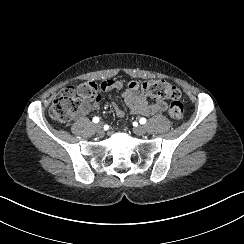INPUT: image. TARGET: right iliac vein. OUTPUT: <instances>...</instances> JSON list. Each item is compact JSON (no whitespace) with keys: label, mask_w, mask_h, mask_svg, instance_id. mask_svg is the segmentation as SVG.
Here are the masks:
<instances>
[{"label":"right iliac vein","mask_w":244,"mask_h":244,"mask_svg":"<svg viewBox=\"0 0 244 244\" xmlns=\"http://www.w3.org/2000/svg\"><path fill=\"white\" fill-rule=\"evenodd\" d=\"M95 130L97 131L98 134L103 135L104 134V129L102 123H98L95 125Z\"/></svg>","instance_id":"obj_1"}]
</instances>
